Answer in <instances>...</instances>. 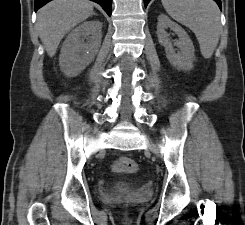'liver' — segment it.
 Masks as SVG:
<instances>
[{"mask_svg":"<svg viewBox=\"0 0 245 225\" xmlns=\"http://www.w3.org/2000/svg\"><path fill=\"white\" fill-rule=\"evenodd\" d=\"M93 15L86 0H53L38 11L37 29L47 54L53 57L63 37Z\"/></svg>","mask_w":245,"mask_h":225,"instance_id":"1","label":"liver"}]
</instances>
